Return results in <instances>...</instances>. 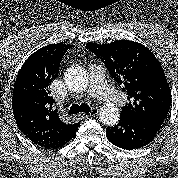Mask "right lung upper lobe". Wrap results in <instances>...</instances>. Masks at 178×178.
Instances as JSON below:
<instances>
[{
  "mask_svg": "<svg viewBox=\"0 0 178 178\" xmlns=\"http://www.w3.org/2000/svg\"><path fill=\"white\" fill-rule=\"evenodd\" d=\"M71 45L50 44L34 52L21 67L15 81L12 108L16 124L34 144L55 149L73 136L79 123L60 118L50 96V84Z\"/></svg>",
  "mask_w": 178,
  "mask_h": 178,
  "instance_id": "right-lung-upper-lobe-1",
  "label": "right lung upper lobe"
}]
</instances>
